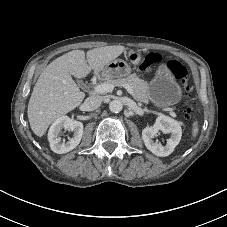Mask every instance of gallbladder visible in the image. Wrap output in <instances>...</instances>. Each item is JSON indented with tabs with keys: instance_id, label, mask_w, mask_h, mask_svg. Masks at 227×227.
Wrapping results in <instances>:
<instances>
[{
	"instance_id": "1",
	"label": "gallbladder",
	"mask_w": 227,
	"mask_h": 227,
	"mask_svg": "<svg viewBox=\"0 0 227 227\" xmlns=\"http://www.w3.org/2000/svg\"><path fill=\"white\" fill-rule=\"evenodd\" d=\"M82 84H83L82 80H78V85L82 86Z\"/></svg>"
}]
</instances>
